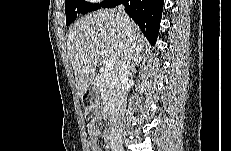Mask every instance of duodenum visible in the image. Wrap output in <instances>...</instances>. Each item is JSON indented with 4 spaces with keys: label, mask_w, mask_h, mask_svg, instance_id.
Segmentation results:
<instances>
[{
    "label": "duodenum",
    "mask_w": 231,
    "mask_h": 151,
    "mask_svg": "<svg viewBox=\"0 0 231 151\" xmlns=\"http://www.w3.org/2000/svg\"><path fill=\"white\" fill-rule=\"evenodd\" d=\"M88 104H90V101H88ZM106 117H107V121H108V123H109V128H111L112 125H113V122H114V120H115V112L112 111V110H109V111L107 112V114H106ZM109 139H110V136H109V134H108V135H107V141H109Z\"/></svg>",
    "instance_id": "410a0bca"
}]
</instances>
